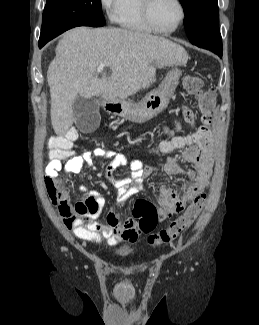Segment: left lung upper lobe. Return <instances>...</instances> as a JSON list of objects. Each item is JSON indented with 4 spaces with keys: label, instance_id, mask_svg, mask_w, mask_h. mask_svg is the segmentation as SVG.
<instances>
[{
    "label": "left lung upper lobe",
    "instance_id": "1",
    "mask_svg": "<svg viewBox=\"0 0 259 325\" xmlns=\"http://www.w3.org/2000/svg\"><path fill=\"white\" fill-rule=\"evenodd\" d=\"M180 2L185 12L184 27L190 42L215 52L212 47L219 48L222 42L218 24V0Z\"/></svg>",
    "mask_w": 259,
    "mask_h": 325
}]
</instances>
